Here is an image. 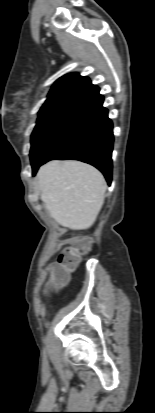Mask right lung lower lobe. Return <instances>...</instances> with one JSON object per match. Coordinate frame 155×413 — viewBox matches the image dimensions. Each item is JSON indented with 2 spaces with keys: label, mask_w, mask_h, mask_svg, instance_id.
I'll list each match as a JSON object with an SVG mask.
<instances>
[{
  "label": "right lung lower lobe",
  "mask_w": 155,
  "mask_h": 413,
  "mask_svg": "<svg viewBox=\"0 0 155 413\" xmlns=\"http://www.w3.org/2000/svg\"><path fill=\"white\" fill-rule=\"evenodd\" d=\"M113 125L103 107V96L97 93L78 106V109L60 139L45 158L32 166L38 168L53 159H72L98 168L108 184L112 178Z\"/></svg>",
  "instance_id": "obj_1"
}]
</instances>
